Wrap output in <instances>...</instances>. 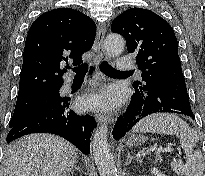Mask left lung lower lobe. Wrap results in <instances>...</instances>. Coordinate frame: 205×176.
I'll return each instance as SVG.
<instances>
[{
    "instance_id": "1",
    "label": "left lung lower lobe",
    "mask_w": 205,
    "mask_h": 176,
    "mask_svg": "<svg viewBox=\"0 0 205 176\" xmlns=\"http://www.w3.org/2000/svg\"><path fill=\"white\" fill-rule=\"evenodd\" d=\"M134 88L130 105L114 126V139H120L136 123L154 113H178L194 119L183 73L162 74Z\"/></svg>"
}]
</instances>
